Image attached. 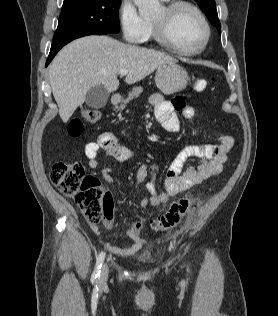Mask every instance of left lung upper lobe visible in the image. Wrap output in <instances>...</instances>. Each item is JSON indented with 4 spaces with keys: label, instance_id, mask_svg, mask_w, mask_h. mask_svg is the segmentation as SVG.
Segmentation results:
<instances>
[{
    "label": "left lung upper lobe",
    "instance_id": "left-lung-upper-lobe-1",
    "mask_svg": "<svg viewBox=\"0 0 278 316\" xmlns=\"http://www.w3.org/2000/svg\"><path fill=\"white\" fill-rule=\"evenodd\" d=\"M200 8L208 17L209 21L218 29L221 33V25L218 19L215 0H196Z\"/></svg>",
    "mask_w": 278,
    "mask_h": 316
}]
</instances>
